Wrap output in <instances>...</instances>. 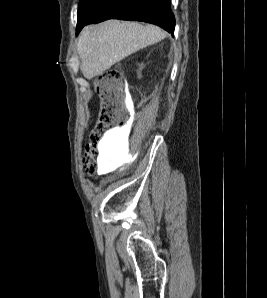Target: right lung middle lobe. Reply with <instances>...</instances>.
Masks as SVG:
<instances>
[{
    "mask_svg": "<svg viewBox=\"0 0 267 298\" xmlns=\"http://www.w3.org/2000/svg\"><path fill=\"white\" fill-rule=\"evenodd\" d=\"M104 0H80L78 7V24L86 21Z\"/></svg>",
    "mask_w": 267,
    "mask_h": 298,
    "instance_id": "1",
    "label": "right lung middle lobe"
}]
</instances>
